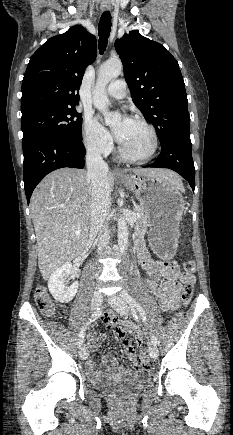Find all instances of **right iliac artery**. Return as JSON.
Listing matches in <instances>:
<instances>
[{"label":"right iliac artery","instance_id":"right-iliac-artery-1","mask_svg":"<svg viewBox=\"0 0 233 435\" xmlns=\"http://www.w3.org/2000/svg\"><path fill=\"white\" fill-rule=\"evenodd\" d=\"M100 315H101V309L98 308V309H97V310H96V311L91 315V317H90V319L88 320V322L86 323V325L82 328V330H81V332H80V334H79L78 342H77L79 348H80V347L82 346V344H83V341H84V333H85V330H86V328H87V325H89L91 322H94L95 320H97V319L100 317Z\"/></svg>","mask_w":233,"mask_h":435}]
</instances>
